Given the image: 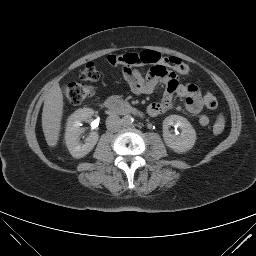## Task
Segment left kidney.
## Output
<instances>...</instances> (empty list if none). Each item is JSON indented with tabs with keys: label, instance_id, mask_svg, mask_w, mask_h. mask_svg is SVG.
I'll list each match as a JSON object with an SVG mask.
<instances>
[{
	"label": "left kidney",
	"instance_id": "1",
	"mask_svg": "<svg viewBox=\"0 0 256 256\" xmlns=\"http://www.w3.org/2000/svg\"><path fill=\"white\" fill-rule=\"evenodd\" d=\"M171 126L179 127L181 134L178 136L171 134ZM163 139L165 144L174 152L183 153L194 146L196 142V132L186 118L178 115H170L163 121Z\"/></svg>",
	"mask_w": 256,
	"mask_h": 256
}]
</instances>
